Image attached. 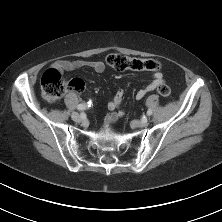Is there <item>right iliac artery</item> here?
I'll use <instances>...</instances> for the list:
<instances>
[{
  "label": "right iliac artery",
  "mask_w": 222,
  "mask_h": 222,
  "mask_svg": "<svg viewBox=\"0 0 222 222\" xmlns=\"http://www.w3.org/2000/svg\"><path fill=\"white\" fill-rule=\"evenodd\" d=\"M91 104H92L91 101H89L87 104H79V105L77 106V109H78L79 111L85 110L87 107H90Z\"/></svg>",
  "instance_id": "right-iliac-artery-1"
}]
</instances>
